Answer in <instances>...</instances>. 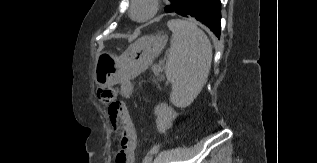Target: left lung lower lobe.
Returning <instances> with one entry per match:
<instances>
[{"mask_svg":"<svg viewBox=\"0 0 317 163\" xmlns=\"http://www.w3.org/2000/svg\"><path fill=\"white\" fill-rule=\"evenodd\" d=\"M220 9V0H181L174 13L196 18L220 38Z\"/></svg>","mask_w":317,"mask_h":163,"instance_id":"0a47b994","label":"left lung lower lobe"}]
</instances>
